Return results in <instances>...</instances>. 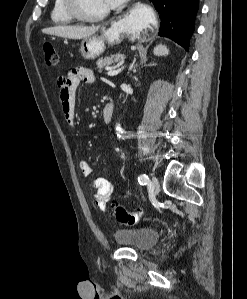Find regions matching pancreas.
I'll use <instances>...</instances> for the list:
<instances>
[{
    "label": "pancreas",
    "instance_id": "1",
    "mask_svg": "<svg viewBox=\"0 0 247 299\" xmlns=\"http://www.w3.org/2000/svg\"><path fill=\"white\" fill-rule=\"evenodd\" d=\"M123 54L111 55L109 57H102L98 59L96 65L99 72H102L104 68H108L111 64L116 63L124 59Z\"/></svg>",
    "mask_w": 247,
    "mask_h": 299
}]
</instances>
